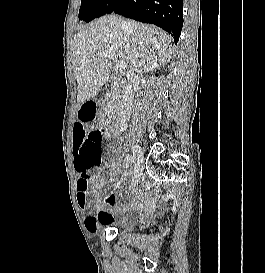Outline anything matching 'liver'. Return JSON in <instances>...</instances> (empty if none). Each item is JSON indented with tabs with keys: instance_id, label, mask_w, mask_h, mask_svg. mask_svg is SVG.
<instances>
[{
	"instance_id": "obj_1",
	"label": "liver",
	"mask_w": 265,
	"mask_h": 273,
	"mask_svg": "<svg viewBox=\"0 0 265 273\" xmlns=\"http://www.w3.org/2000/svg\"><path fill=\"white\" fill-rule=\"evenodd\" d=\"M106 15L82 28L72 41V56L78 83L77 101L94 97L109 80L110 57L124 60L129 70L153 71L169 62L172 38L165 31L143 23Z\"/></svg>"
}]
</instances>
